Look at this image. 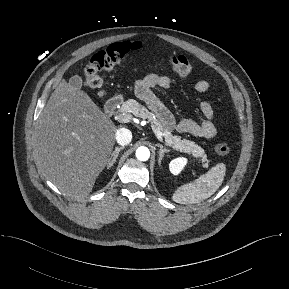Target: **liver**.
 Masks as SVG:
<instances>
[{"label": "liver", "mask_w": 289, "mask_h": 289, "mask_svg": "<svg viewBox=\"0 0 289 289\" xmlns=\"http://www.w3.org/2000/svg\"><path fill=\"white\" fill-rule=\"evenodd\" d=\"M116 131L87 93L62 80L39 116L35 162L64 195L83 198L108 163Z\"/></svg>", "instance_id": "1"}]
</instances>
